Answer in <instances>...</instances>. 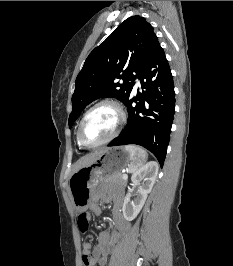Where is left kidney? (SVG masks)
I'll return each mask as SVG.
<instances>
[{"mask_svg":"<svg viewBox=\"0 0 233 266\" xmlns=\"http://www.w3.org/2000/svg\"><path fill=\"white\" fill-rule=\"evenodd\" d=\"M158 174V165L150 161L140 167L131 177L132 186H139L136 198L131 201L130 191L126 194L123 203V216L127 221L134 220L141 211L148 194L151 192ZM143 181V182H142Z\"/></svg>","mask_w":233,"mask_h":266,"instance_id":"left-kidney-1","label":"left kidney"}]
</instances>
